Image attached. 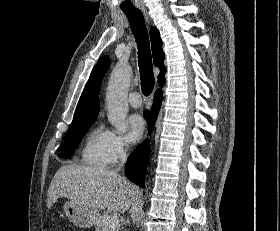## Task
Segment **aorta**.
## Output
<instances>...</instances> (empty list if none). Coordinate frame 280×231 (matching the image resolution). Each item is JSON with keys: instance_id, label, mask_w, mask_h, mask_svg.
<instances>
[{"instance_id": "1", "label": "aorta", "mask_w": 280, "mask_h": 231, "mask_svg": "<svg viewBox=\"0 0 280 231\" xmlns=\"http://www.w3.org/2000/svg\"><path fill=\"white\" fill-rule=\"evenodd\" d=\"M132 76L131 66H115L111 72L106 94L108 108V121L118 129L119 133H125L128 129L126 121L129 112L127 96Z\"/></svg>"}]
</instances>
